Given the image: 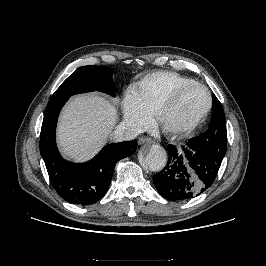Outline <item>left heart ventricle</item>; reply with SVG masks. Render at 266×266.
Instances as JSON below:
<instances>
[{"instance_id":"b2bd125f","label":"left heart ventricle","mask_w":266,"mask_h":266,"mask_svg":"<svg viewBox=\"0 0 266 266\" xmlns=\"http://www.w3.org/2000/svg\"><path fill=\"white\" fill-rule=\"evenodd\" d=\"M207 106V95L198 87H190L176 100L174 105L165 113L163 124L177 126L197 118Z\"/></svg>"}]
</instances>
